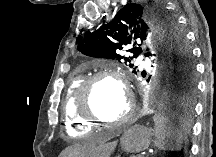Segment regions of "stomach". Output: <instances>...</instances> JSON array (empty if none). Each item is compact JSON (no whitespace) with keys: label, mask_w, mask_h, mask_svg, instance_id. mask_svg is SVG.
<instances>
[{"label":"stomach","mask_w":216,"mask_h":157,"mask_svg":"<svg viewBox=\"0 0 216 157\" xmlns=\"http://www.w3.org/2000/svg\"><path fill=\"white\" fill-rule=\"evenodd\" d=\"M152 138L150 129L141 125H135L125 130L122 145L130 153H138L146 150Z\"/></svg>","instance_id":"obj_1"}]
</instances>
